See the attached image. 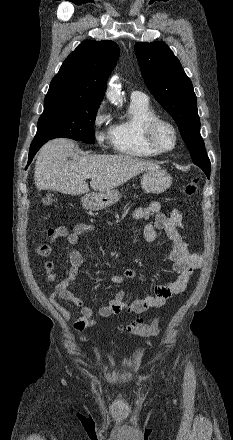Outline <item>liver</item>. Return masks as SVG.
<instances>
[{"label":"liver","instance_id":"6515ba94","mask_svg":"<svg viewBox=\"0 0 233 440\" xmlns=\"http://www.w3.org/2000/svg\"><path fill=\"white\" fill-rule=\"evenodd\" d=\"M74 147V141L67 138L50 140L42 147L35 163L34 180L38 190L85 194L89 192L85 174L89 173L92 174L91 188L106 192L139 173L160 168L156 163L128 155L80 156Z\"/></svg>","mask_w":233,"mask_h":440}]
</instances>
